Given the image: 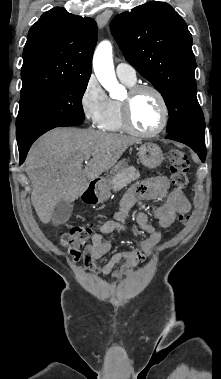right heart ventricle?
<instances>
[{
  "instance_id": "right-heart-ventricle-1",
  "label": "right heart ventricle",
  "mask_w": 221,
  "mask_h": 379,
  "mask_svg": "<svg viewBox=\"0 0 221 379\" xmlns=\"http://www.w3.org/2000/svg\"><path fill=\"white\" fill-rule=\"evenodd\" d=\"M128 87H132L134 83H130L124 80H121ZM102 130L110 132H118L125 130L123 120H122V110H121V101L116 99H110V105L108 112L99 125Z\"/></svg>"
}]
</instances>
